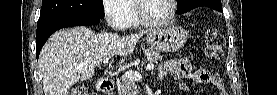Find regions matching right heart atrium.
<instances>
[{
	"instance_id": "d8ad5b80",
	"label": "right heart atrium",
	"mask_w": 277,
	"mask_h": 95,
	"mask_svg": "<svg viewBox=\"0 0 277 95\" xmlns=\"http://www.w3.org/2000/svg\"><path fill=\"white\" fill-rule=\"evenodd\" d=\"M126 0H103L102 10L109 26L115 30L124 27L127 10L123 6Z\"/></svg>"
}]
</instances>
